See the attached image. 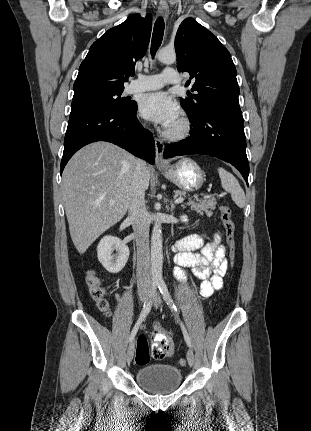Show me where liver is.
<instances>
[{"mask_svg":"<svg viewBox=\"0 0 311 431\" xmlns=\"http://www.w3.org/2000/svg\"><path fill=\"white\" fill-rule=\"evenodd\" d=\"M137 162L108 142L89 144L69 160L61 190L70 235L79 253L125 216ZM141 172L148 190L151 172L146 162H141Z\"/></svg>","mask_w":311,"mask_h":431,"instance_id":"1","label":"liver"}]
</instances>
